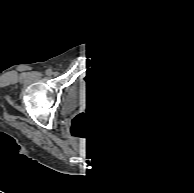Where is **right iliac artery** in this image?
<instances>
[{"mask_svg": "<svg viewBox=\"0 0 194 193\" xmlns=\"http://www.w3.org/2000/svg\"><path fill=\"white\" fill-rule=\"evenodd\" d=\"M50 73H51V71H50V70H47V71H46V74H50Z\"/></svg>", "mask_w": 194, "mask_h": 193, "instance_id": "82829eb1", "label": "right iliac artery"}]
</instances>
